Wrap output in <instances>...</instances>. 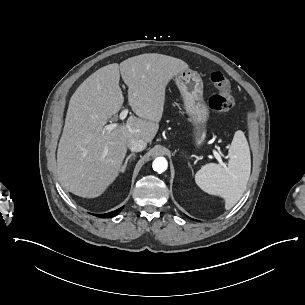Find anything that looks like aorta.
<instances>
[{"mask_svg": "<svg viewBox=\"0 0 305 305\" xmlns=\"http://www.w3.org/2000/svg\"><path fill=\"white\" fill-rule=\"evenodd\" d=\"M153 170L157 173H163L167 170L168 162L165 157H157L152 163Z\"/></svg>", "mask_w": 305, "mask_h": 305, "instance_id": "1", "label": "aorta"}]
</instances>
